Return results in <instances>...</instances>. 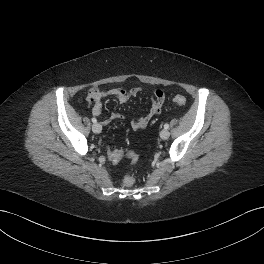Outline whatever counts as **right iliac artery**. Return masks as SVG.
<instances>
[{
  "label": "right iliac artery",
  "instance_id": "1",
  "mask_svg": "<svg viewBox=\"0 0 264 264\" xmlns=\"http://www.w3.org/2000/svg\"><path fill=\"white\" fill-rule=\"evenodd\" d=\"M92 122L96 123L97 122L96 118H92Z\"/></svg>",
  "mask_w": 264,
  "mask_h": 264
}]
</instances>
